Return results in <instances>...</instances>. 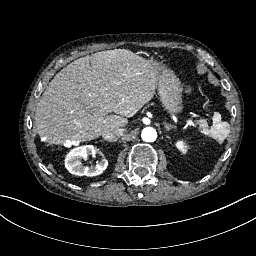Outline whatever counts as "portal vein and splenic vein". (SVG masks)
<instances>
[{"label": "portal vein and splenic vein", "instance_id": "obj_1", "mask_svg": "<svg viewBox=\"0 0 256 256\" xmlns=\"http://www.w3.org/2000/svg\"><path fill=\"white\" fill-rule=\"evenodd\" d=\"M184 124H188L189 126H192V128L198 129V130H202V127H198L196 125H192L191 122H188L187 120H184Z\"/></svg>", "mask_w": 256, "mask_h": 256}]
</instances>
